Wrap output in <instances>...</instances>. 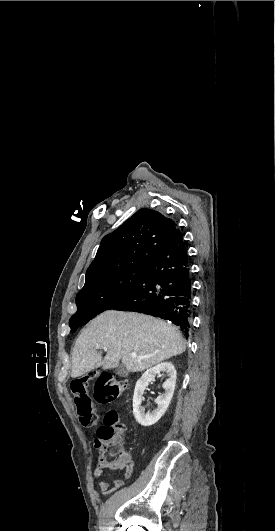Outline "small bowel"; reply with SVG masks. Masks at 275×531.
I'll return each instance as SVG.
<instances>
[{
	"instance_id": "obj_1",
	"label": "small bowel",
	"mask_w": 275,
	"mask_h": 531,
	"mask_svg": "<svg viewBox=\"0 0 275 531\" xmlns=\"http://www.w3.org/2000/svg\"><path fill=\"white\" fill-rule=\"evenodd\" d=\"M95 445L97 447H99L101 445V443L99 441H96ZM119 458H121V459H132L131 455L128 452H126V451L121 452ZM105 472H106V469L98 468L96 470V472H95V476L96 477H100ZM130 476L131 475H124V477H126V478H129ZM99 489H100V491H101L103 496H108V495L112 494L113 492H115L116 490H118L119 488H110L109 485L107 484V482L104 481V482L99 483Z\"/></svg>"
}]
</instances>
